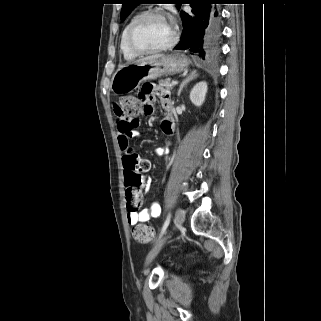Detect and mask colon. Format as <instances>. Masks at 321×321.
I'll use <instances>...</instances> for the list:
<instances>
[{
  "label": "colon",
  "instance_id": "1",
  "mask_svg": "<svg viewBox=\"0 0 321 321\" xmlns=\"http://www.w3.org/2000/svg\"><path fill=\"white\" fill-rule=\"evenodd\" d=\"M145 97L125 96L116 105L115 113L127 121L139 122V118L152 112V105ZM150 164L139 156L129 158L125 164V186L128 210L136 211L142 204L145 180L143 173L149 170ZM133 237L140 243H148L155 236V230L149 225L140 224L133 228Z\"/></svg>",
  "mask_w": 321,
  "mask_h": 321
}]
</instances>
